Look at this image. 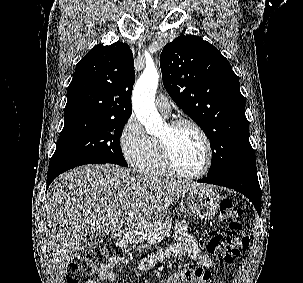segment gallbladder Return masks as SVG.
<instances>
[{
	"label": "gallbladder",
	"mask_w": 303,
	"mask_h": 283,
	"mask_svg": "<svg viewBox=\"0 0 303 283\" xmlns=\"http://www.w3.org/2000/svg\"><path fill=\"white\" fill-rule=\"evenodd\" d=\"M103 239H104V235L102 234H98V235L88 234L84 236L83 239L81 240V250H87L92 246L101 243Z\"/></svg>",
	"instance_id": "bac80fb5"
}]
</instances>
